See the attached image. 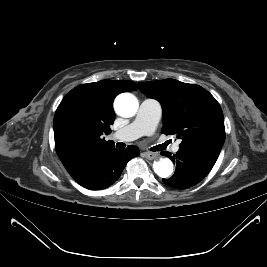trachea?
Returning a JSON list of instances; mask_svg holds the SVG:
<instances>
[{
	"instance_id": "trachea-1",
	"label": "trachea",
	"mask_w": 267,
	"mask_h": 267,
	"mask_svg": "<svg viewBox=\"0 0 267 267\" xmlns=\"http://www.w3.org/2000/svg\"><path fill=\"white\" fill-rule=\"evenodd\" d=\"M166 147V145H158L154 148H152L153 151L163 150Z\"/></svg>"
}]
</instances>
